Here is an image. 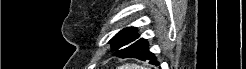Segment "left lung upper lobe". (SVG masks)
<instances>
[{
    "instance_id": "1",
    "label": "left lung upper lobe",
    "mask_w": 246,
    "mask_h": 69,
    "mask_svg": "<svg viewBox=\"0 0 246 69\" xmlns=\"http://www.w3.org/2000/svg\"><path fill=\"white\" fill-rule=\"evenodd\" d=\"M135 27H128L119 31L110 41L112 50L117 51L125 48L139 38Z\"/></svg>"
}]
</instances>
